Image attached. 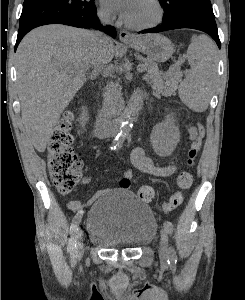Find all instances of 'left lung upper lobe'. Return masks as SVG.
Here are the masks:
<instances>
[{
    "label": "left lung upper lobe",
    "instance_id": "obj_1",
    "mask_svg": "<svg viewBox=\"0 0 245 300\" xmlns=\"http://www.w3.org/2000/svg\"><path fill=\"white\" fill-rule=\"evenodd\" d=\"M160 4L164 9L163 21L181 11H192L215 17L210 0H160Z\"/></svg>",
    "mask_w": 245,
    "mask_h": 300
}]
</instances>
